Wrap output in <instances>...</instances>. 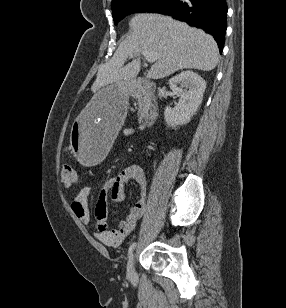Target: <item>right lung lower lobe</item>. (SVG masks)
Listing matches in <instances>:
<instances>
[{"label":"right lung lower lobe","instance_id":"right-lung-lower-lobe-1","mask_svg":"<svg viewBox=\"0 0 286 308\" xmlns=\"http://www.w3.org/2000/svg\"><path fill=\"white\" fill-rule=\"evenodd\" d=\"M227 11L225 0H168L153 12L170 15L206 30L216 40L221 53L227 29Z\"/></svg>","mask_w":286,"mask_h":308}]
</instances>
